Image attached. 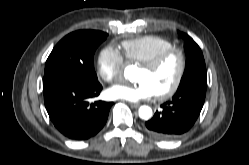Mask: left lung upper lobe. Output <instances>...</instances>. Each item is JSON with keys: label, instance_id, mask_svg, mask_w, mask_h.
Instances as JSON below:
<instances>
[{"label": "left lung upper lobe", "instance_id": "5c2ea615", "mask_svg": "<svg viewBox=\"0 0 249 165\" xmlns=\"http://www.w3.org/2000/svg\"><path fill=\"white\" fill-rule=\"evenodd\" d=\"M178 33L186 40L184 45L186 52V66L177 91L193 85L207 87V71L200 47L187 34L183 32Z\"/></svg>", "mask_w": 249, "mask_h": 165}]
</instances>
